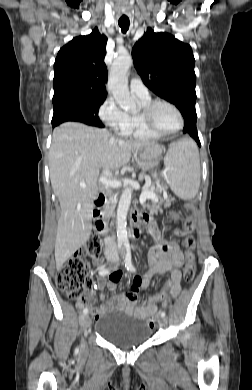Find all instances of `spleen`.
Here are the masks:
<instances>
[{
	"mask_svg": "<svg viewBox=\"0 0 252 390\" xmlns=\"http://www.w3.org/2000/svg\"><path fill=\"white\" fill-rule=\"evenodd\" d=\"M167 182L181 199H193L200 186V160L196 144L182 139L170 144L164 158Z\"/></svg>",
	"mask_w": 252,
	"mask_h": 390,
	"instance_id": "obj_1",
	"label": "spleen"
}]
</instances>
